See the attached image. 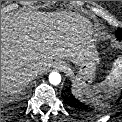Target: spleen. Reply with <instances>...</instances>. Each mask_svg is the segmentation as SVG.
<instances>
[{"label": "spleen", "instance_id": "3e777b00", "mask_svg": "<svg viewBox=\"0 0 122 122\" xmlns=\"http://www.w3.org/2000/svg\"><path fill=\"white\" fill-rule=\"evenodd\" d=\"M122 86V57L113 63L110 73L100 84L91 87L73 84L72 94L80 101L97 109L108 105V100L117 97Z\"/></svg>", "mask_w": 122, "mask_h": 122}]
</instances>
